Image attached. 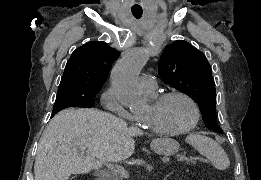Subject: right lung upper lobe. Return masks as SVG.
<instances>
[{
	"label": "right lung upper lobe",
	"mask_w": 261,
	"mask_h": 180,
	"mask_svg": "<svg viewBox=\"0 0 261 180\" xmlns=\"http://www.w3.org/2000/svg\"><path fill=\"white\" fill-rule=\"evenodd\" d=\"M119 54L102 41H91L79 47L67 62L59 87L101 88Z\"/></svg>",
	"instance_id": "right-lung-upper-lobe-1"
}]
</instances>
